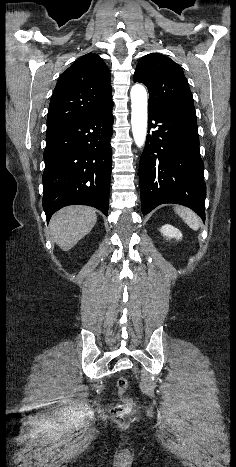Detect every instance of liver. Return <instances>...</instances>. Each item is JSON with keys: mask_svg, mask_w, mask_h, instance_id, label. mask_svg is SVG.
I'll use <instances>...</instances> for the list:
<instances>
[{"mask_svg": "<svg viewBox=\"0 0 236 467\" xmlns=\"http://www.w3.org/2000/svg\"><path fill=\"white\" fill-rule=\"evenodd\" d=\"M96 220L94 208L81 205L69 206L52 216L49 229L56 244L63 251H68L92 230Z\"/></svg>", "mask_w": 236, "mask_h": 467, "instance_id": "6515ba94", "label": "liver"}]
</instances>
